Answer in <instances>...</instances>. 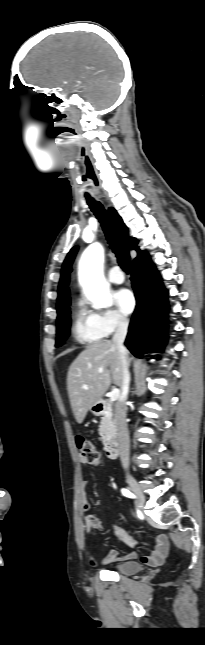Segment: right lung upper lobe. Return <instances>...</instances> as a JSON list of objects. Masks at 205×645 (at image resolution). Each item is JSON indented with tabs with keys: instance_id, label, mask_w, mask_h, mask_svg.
Wrapping results in <instances>:
<instances>
[{
	"instance_id": "cb5924a9",
	"label": "right lung upper lobe",
	"mask_w": 205,
	"mask_h": 645,
	"mask_svg": "<svg viewBox=\"0 0 205 645\" xmlns=\"http://www.w3.org/2000/svg\"><path fill=\"white\" fill-rule=\"evenodd\" d=\"M110 214L114 218V222L119 229V232L121 234V237L123 238L125 244L127 247H129L132 250H136L138 253V256L136 259H134L133 262L139 261L141 259L147 258L149 255L146 251H141L139 247L137 246L138 240L135 238H130L128 236V228L125 226L123 223L121 217L117 214L114 208L109 209ZM78 250V247L75 246L73 247L70 252L68 253L63 266L61 270V278H60V283L58 287V298H57V313L58 315L62 313L64 309H66L70 305V298H69V289H68V283H69V273L71 272V264L73 262V259L76 255V252Z\"/></svg>"
}]
</instances>
